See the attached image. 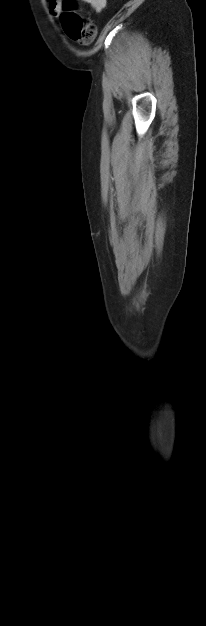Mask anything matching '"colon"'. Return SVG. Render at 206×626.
Here are the masks:
<instances>
[{"mask_svg":"<svg viewBox=\"0 0 206 626\" xmlns=\"http://www.w3.org/2000/svg\"><path fill=\"white\" fill-rule=\"evenodd\" d=\"M61 23L68 37L73 40L90 44L95 39V24L77 14L74 0H63Z\"/></svg>","mask_w":206,"mask_h":626,"instance_id":"obj_1","label":"colon"}]
</instances>
